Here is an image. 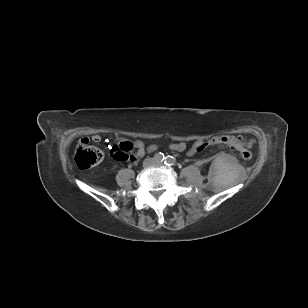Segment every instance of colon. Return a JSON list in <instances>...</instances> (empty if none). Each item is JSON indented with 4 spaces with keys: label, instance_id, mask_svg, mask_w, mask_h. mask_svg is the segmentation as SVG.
Here are the masks:
<instances>
[{
    "label": "colon",
    "instance_id": "5ec220e1",
    "mask_svg": "<svg viewBox=\"0 0 308 308\" xmlns=\"http://www.w3.org/2000/svg\"><path fill=\"white\" fill-rule=\"evenodd\" d=\"M211 145H225L230 149L236 150L240 153L244 160H250L252 158V153L248 149L251 144L244 142L239 137L231 135L213 137L204 142L198 150L200 151ZM112 156L114 160L118 162L132 160L133 153L131 145L128 143L119 142L118 145L113 149ZM103 157V152L100 149L90 145L89 140L84 138L79 140L74 157L75 162L79 168H92L98 165L103 160Z\"/></svg>",
    "mask_w": 308,
    "mask_h": 308
}]
</instances>
